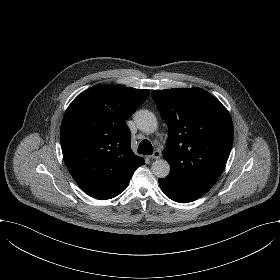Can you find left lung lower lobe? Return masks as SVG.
Segmentation results:
<instances>
[{"label":"left lung lower lobe","mask_w":280,"mask_h":280,"mask_svg":"<svg viewBox=\"0 0 280 280\" xmlns=\"http://www.w3.org/2000/svg\"><path fill=\"white\" fill-rule=\"evenodd\" d=\"M159 184L167 197L179 203L192 202L203 196L210 189V187L205 186L178 187L173 181L166 178H160Z\"/></svg>","instance_id":"left-lung-lower-lobe-1"}]
</instances>
